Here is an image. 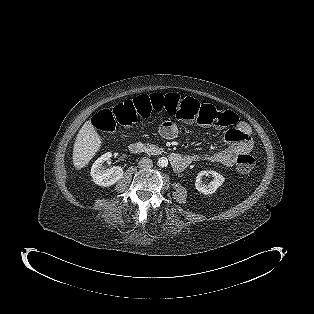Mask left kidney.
<instances>
[{"instance_id": "obj_1", "label": "left kidney", "mask_w": 314, "mask_h": 314, "mask_svg": "<svg viewBox=\"0 0 314 314\" xmlns=\"http://www.w3.org/2000/svg\"><path fill=\"white\" fill-rule=\"evenodd\" d=\"M209 174L212 175L213 181H210L207 184L203 183L201 180L202 176H207ZM224 180L225 178L215 171H201L196 177L195 187L200 193L209 195L215 193V191L223 184Z\"/></svg>"}]
</instances>
